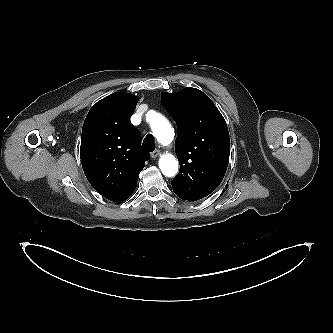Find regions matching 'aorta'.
<instances>
[{"label":"aorta","instance_id":"aorta-1","mask_svg":"<svg viewBox=\"0 0 333 333\" xmlns=\"http://www.w3.org/2000/svg\"><path fill=\"white\" fill-rule=\"evenodd\" d=\"M150 125L159 143L166 146L172 142L174 137L173 129L165 117L155 114ZM159 168L165 176H175L178 172V161L174 155L164 154L159 159Z\"/></svg>","mask_w":333,"mask_h":333}]
</instances>
